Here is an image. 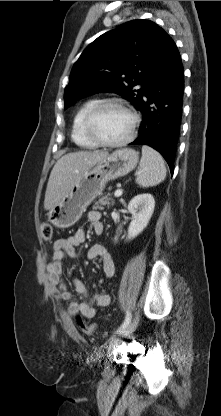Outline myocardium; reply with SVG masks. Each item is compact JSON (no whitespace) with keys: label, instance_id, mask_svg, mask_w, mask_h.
<instances>
[{"label":"myocardium","instance_id":"obj_1","mask_svg":"<svg viewBox=\"0 0 221 416\" xmlns=\"http://www.w3.org/2000/svg\"><path fill=\"white\" fill-rule=\"evenodd\" d=\"M116 106L124 111H126L131 117V128L126 137L119 141H107L101 138L94 129V123L98 115L107 107ZM139 125V116L138 114L126 103L119 99H105L97 103L88 113L84 122V130L86 135L97 145L104 147H121L133 140L136 135L137 128Z\"/></svg>","mask_w":221,"mask_h":416}]
</instances>
